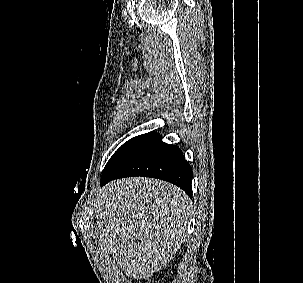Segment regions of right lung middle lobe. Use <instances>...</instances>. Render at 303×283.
I'll list each match as a JSON object with an SVG mask.
<instances>
[{"label": "right lung middle lobe", "mask_w": 303, "mask_h": 283, "mask_svg": "<svg viewBox=\"0 0 303 283\" xmlns=\"http://www.w3.org/2000/svg\"><path fill=\"white\" fill-rule=\"evenodd\" d=\"M140 136H136V137H133L132 139L128 140L113 154V156L110 158V160L106 164L102 175L109 172L116 165V163L122 158L124 153L138 140V138Z\"/></svg>", "instance_id": "1"}]
</instances>
